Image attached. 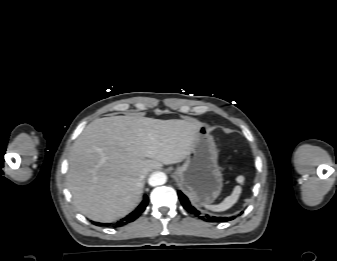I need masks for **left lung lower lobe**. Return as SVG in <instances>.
Segmentation results:
<instances>
[{"label":"left lung lower lobe","mask_w":337,"mask_h":261,"mask_svg":"<svg viewBox=\"0 0 337 261\" xmlns=\"http://www.w3.org/2000/svg\"><path fill=\"white\" fill-rule=\"evenodd\" d=\"M178 196L179 199L183 205V207L191 214L195 215L196 217L201 218L204 221L208 222H222V221H229L232 220L233 218H228V217H216V216H210V215H201V213L196 210L189 202L188 198L181 192L178 191Z\"/></svg>","instance_id":"1"}]
</instances>
